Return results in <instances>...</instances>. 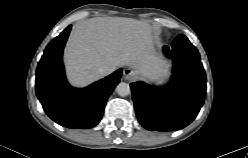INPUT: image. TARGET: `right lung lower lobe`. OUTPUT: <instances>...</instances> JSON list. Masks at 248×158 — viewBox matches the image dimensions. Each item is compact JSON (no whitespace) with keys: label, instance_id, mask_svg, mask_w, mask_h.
<instances>
[{"label":"right lung lower lobe","instance_id":"right-lung-lower-lobe-1","mask_svg":"<svg viewBox=\"0 0 248 158\" xmlns=\"http://www.w3.org/2000/svg\"><path fill=\"white\" fill-rule=\"evenodd\" d=\"M71 25L46 47L36 71V94L46 114L56 123L78 129L92 128L101 120L106 101L120 81L119 69L84 89L66 81L63 48Z\"/></svg>","mask_w":248,"mask_h":158}]
</instances>
